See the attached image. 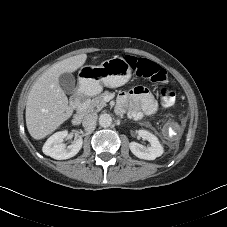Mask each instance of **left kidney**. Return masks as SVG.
<instances>
[{
	"mask_svg": "<svg viewBox=\"0 0 227 227\" xmlns=\"http://www.w3.org/2000/svg\"><path fill=\"white\" fill-rule=\"evenodd\" d=\"M138 135L146 139L150 143V146L144 147L139 143L131 142L129 148L136 157L145 160H154L163 154V147L156 136L146 130H139Z\"/></svg>",
	"mask_w": 227,
	"mask_h": 227,
	"instance_id": "5707ae66",
	"label": "left kidney"
}]
</instances>
